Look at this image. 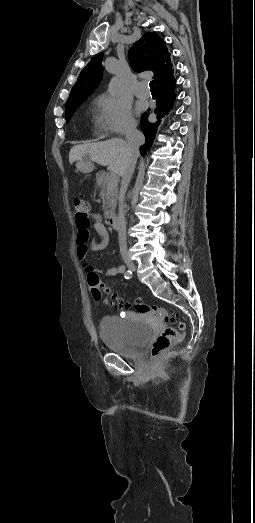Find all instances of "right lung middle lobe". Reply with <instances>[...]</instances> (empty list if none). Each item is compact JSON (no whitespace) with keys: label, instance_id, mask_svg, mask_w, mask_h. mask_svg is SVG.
Returning a JSON list of instances; mask_svg holds the SVG:
<instances>
[{"label":"right lung middle lobe","instance_id":"1","mask_svg":"<svg viewBox=\"0 0 255 523\" xmlns=\"http://www.w3.org/2000/svg\"><path fill=\"white\" fill-rule=\"evenodd\" d=\"M82 102H70L66 103L65 107V118L66 122L68 123L73 115V113L77 110V108L81 105Z\"/></svg>","mask_w":255,"mask_h":523}]
</instances>
